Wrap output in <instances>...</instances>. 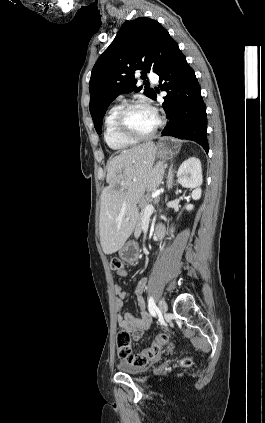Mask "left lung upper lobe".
<instances>
[{
  "mask_svg": "<svg viewBox=\"0 0 265 423\" xmlns=\"http://www.w3.org/2000/svg\"><path fill=\"white\" fill-rule=\"evenodd\" d=\"M170 39L168 31L156 20L137 18L122 25L91 73L89 107L98 134L107 107L115 97L141 90V86L136 87L135 71H142V79L150 71L157 72ZM144 94L153 99L155 91L145 86Z\"/></svg>",
  "mask_w": 265,
  "mask_h": 423,
  "instance_id": "left-lung-upper-lobe-1",
  "label": "left lung upper lobe"
}]
</instances>
